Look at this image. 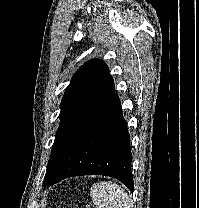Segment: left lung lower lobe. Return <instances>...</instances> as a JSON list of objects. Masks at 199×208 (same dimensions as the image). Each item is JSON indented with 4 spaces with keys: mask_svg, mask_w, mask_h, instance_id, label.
I'll use <instances>...</instances> for the list:
<instances>
[{
    "mask_svg": "<svg viewBox=\"0 0 199 208\" xmlns=\"http://www.w3.org/2000/svg\"><path fill=\"white\" fill-rule=\"evenodd\" d=\"M130 136L120 99L113 94L88 116L62 146L45 183L52 186L78 175H105L120 180L132 192Z\"/></svg>",
    "mask_w": 199,
    "mask_h": 208,
    "instance_id": "1",
    "label": "left lung lower lobe"
}]
</instances>
